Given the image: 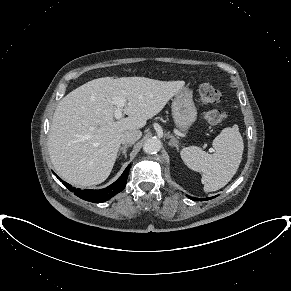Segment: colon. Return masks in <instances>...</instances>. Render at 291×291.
Listing matches in <instances>:
<instances>
[{
    "mask_svg": "<svg viewBox=\"0 0 291 291\" xmlns=\"http://www.w3.org/2000/svg\"><path fill=\"white\" fill-rule=\"evenodd\" d=\"M200 101L204 105H214L221 101V93L209 83H203L199 87ZM226 117V114L219 109H211L203 114V119L210 125H221Z\"/></svg>",
    "mask_w": 291,
    "mask_h": 291,
    "instance_id": "obj_1",
    "label": "colon"
}]
</instances>
